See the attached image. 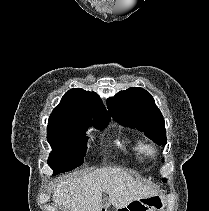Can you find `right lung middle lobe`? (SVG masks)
I'll return each mask as SVG.
<instances>
[{
  "label": "right lung middle lobe",
  "mask_w": 209,
  "mask_h": 211,
  "mask_svg": "<svg viewBox=\"0 0 209 211\" xmlns=\"http://www.w3.org/2000/svg\"><path fill=\"white\" fill-rule=\"evenodd\" d=\"M110 120L104 118L96 120L94 124L103 129ZM85 123L70 126L48 125L47 140L52 148L48 165L53 169L54 174L71 171L83 164L88 140L85 132L87 125H92L93 122Z\"/></svg>",
  "instance_id": "1"
}]
</instances>
